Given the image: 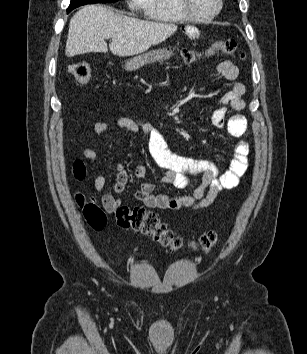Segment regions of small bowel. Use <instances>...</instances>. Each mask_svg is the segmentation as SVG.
I'll return each instance as SVG.
<instances>
[{
	"instance_id": "small-bowel-1",
	"label": "small bowel",
	"mask_w": 307,
	"mask_h": 354,
	"mask_svg": "<svg viewBox=\"0 0 307 354\" xmlns=\"http://www.w3.org/2000/svg\"><path fill=\"white\" fill-rule=\"evenodd\" d=\"M185 34L192 39L200 36V32L196 28H187ZM217 71L229 81L236 80L239 74L237 66L230 61L221 62L217 66ZM244 93V84L236 82L222 96L221 102L223 106L216 108L211 115L212 123L216 127L226 128L231 136L238 138L229 169L222 175H220L219 169L213 161L198 160L173 153L168 148L163 133L152 124L135 118H118L115 121L117 127L128 130L132 134L141 132L147 136L150 155L161 168L166 170L160 179L161 182L172 183L179 188H185L190 183L188 176H198L201 178L200 185L195 188L193 194L190 196L175 197L163 193L154 194V184L144 182L136 191V199L148 208L162 210L188 208L191 210H200L211 205L222 190L236 187L248 166L249 146L244 139L248 133V125L245 117L242 115V111L245 108V103L242 100ZM227 106L233 111V114L229 118H227ZM108 129L109 124L107 122L98 121L93 125V130L97 134L104 133ZM82 155L92 164L97 160V153L89 147L83 148ZM148 174L149 171L144 165H138L134 169V176L138 179L145 178ZM127 182V172L122 167H118L113 191L105 194L102 198V202L108 210L121 204V200L115 198L114 194L122 192ZM105 183L104 176L99 173L96 174L94 188L97 191H102Z\"/></svg>"
}]
</instances>
